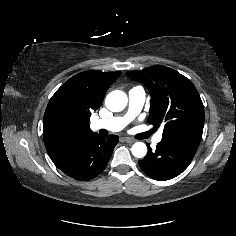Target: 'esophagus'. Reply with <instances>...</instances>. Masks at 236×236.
Segmentation results:
<instances>
[{"instance_id":"esophagus-1","label":"esophagus","mask_w":236,"mask_h":236,"mask_svg":"<svg viewBox=\"0 0 236 236\" xmlns=\"http://www.w3.org/2000/svg\"><path fill=\"white\" fill-rule=\"evenodd\" d=\"M123 140H124L126 143H134V142H135L134 139L128 138V137H124Z\"/></svg>"}]
</instances>
